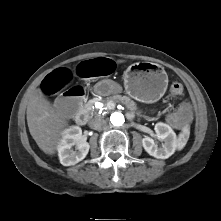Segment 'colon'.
<instances>
[{
	"mask_svg": "<svg viewBox=\"0 0 221 221\" xmlns=\"http://www.w3.org/2000/svg\"><path fill=\"white\" fill-rule=\"evenodd\" d=\"M114 69V63L109 59L88 61L79 66V73L86 77L107 75ZM72 74L67 69H58L45 77L42 82V91L47 95H53L64 89L71 81ZM183 86L180 83H173L170 92L174 95L183 93ZM86 91L83 86L74 84L61 94L60 101L57 103L56 111L60 117L68 118L74 111L81 108ZM195 107L192 103H182L179 109L172 111L168 115L169 123L177 128L189 125L193 122V112Z\"/></svg>",
	"mask_w": 221,
	"mask_h": 221,
	"instance_id": "1",
	"label": "colon"
}]
</instances>
